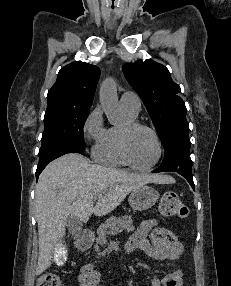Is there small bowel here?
I'll use <instances>...</instances> for the list:
<instances>
[{"label": "small bowel", "instance_id": "small-bowel-1", "mask_svg": "<svg viewBox=\"0 0 231 286\" xmlns=\"http://www.w3.org/2000/svg\"><path fill=\"white\" fill-rule=\"evenodd\" d=\"M150 238V240L148 239ZM142 251L154 260H177L184 251L183 244L157 219L143 221L124 246L125 253ZM101 276L92 265H85L78 276L79 286H99ZM152 286H182L183 273L176 268L164 277L154 276Z\"/></svg>", "mask_w": 231, "mask_h": 286}]
</instances>
